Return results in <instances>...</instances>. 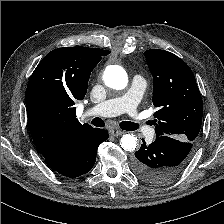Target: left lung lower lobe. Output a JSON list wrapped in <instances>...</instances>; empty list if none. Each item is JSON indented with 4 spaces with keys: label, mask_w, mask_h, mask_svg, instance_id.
Here are the masks:
<instances>
[{
    "label": "left lung lower lobe",
    "mask_w": 224,
    "mask_h": 224,
    "mask_svg": "<svg viewBox=\"0 0 224 224\" xmlns=\"http://www.w3.org/2000/svg\"><path fill=\"white\" fill-rule=\"evenodd\" d=\"M192 142H184L169 136H159L146 145L143 140L141 148L135 153L132 168L143 181L163 184L174 179L186 165Z\"/></svg>",
    "instance_id": "1"
}]
</instances>
